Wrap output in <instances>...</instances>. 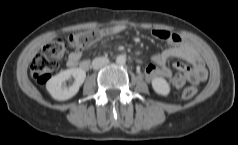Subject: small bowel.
Masks as SVG:
<instances>
[{
  "instance_id": "obj_1",
  "label": "small bowel",
  "mask_w": 238,
  "mask_h": 145,
  "mask_svg": "<svg viewBox=\"0 0 238 145\" xmlns=\"http://www.w3.org/2000/svg\"><path fill=\"white\" fill-rule=\"evenodd\" d=\"M122 24L116 25L108 29L106 35H117L125 30ZM153 35L167 41L171 47L161 53L154 54L152 57L153 63L145 68V76L148 81H152L158 77L169 81L173 88H181L188 81L193 85L203 82L207 77V71L203 60L199 53L180 35L171 33L162 29L153 30ZM82 51H72L67 58V66L70 68L79 67L80 69L89 70L91 63L89 60H81ZM171 58H181L192 65V69L182 63L175 62L174 67L182 72L181 74H173L171 69L167 66V62Z\"/></svg>"
}]
</instances>
